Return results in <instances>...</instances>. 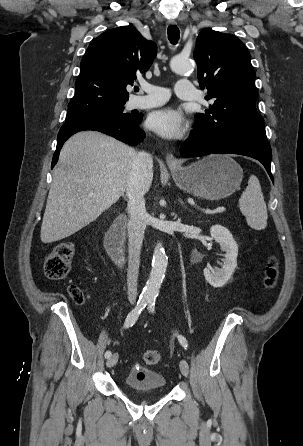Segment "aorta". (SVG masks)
I'll list each match as a JSON object with an SVG mask.
<instances>
[{"label": "aorta", "instance_id": "762f6f07", "mask_svg": "<svg viewBox=\"0 0 303 446\" xmlns=\"http://www.w3.org/2000/svg\"><path fill=\"white\" fill-rule=\"evenodd\" d=\"M170 65L171 69L177 74H185L193 70V64L191 61L181 57L173 58ZM167 265L168 257L164 248L162 247V243L159 242L155 246L150 276L142 292V297L144 300L155 301L157 298L165 276Z\"/></svg>", "mask_w": 303, "mask_h": 446}]
</instances>
